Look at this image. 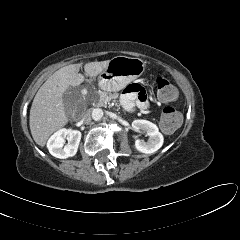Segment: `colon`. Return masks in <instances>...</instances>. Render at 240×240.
Segmentation results:
<instances>
[{
	"instance_id": "obj_1",
	"label": "colon",
	"mask_w": 240,
	"mask_h": 240,
	"mask_svg": "<svg viewBox=\"0 0 240 240\" xmlns=\"http://www.w3.org/2000/svg\"><path fill=\"white\" fill-rule=\"evenodd\" d=\"M157 97L165 103L177 99L178 91L175 86L165 77H157L155 81ZM181 115L173 107H165L160 119V127L166 133L175 131L181 124Z\"/></svg>"
}]
</instances>
